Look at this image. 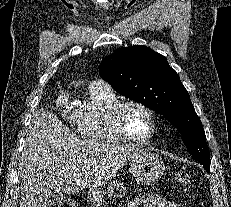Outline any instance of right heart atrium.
Returning <instances> with one entry per match:
<instances>
[{"label":"right heart atrium","mask_w":231,"mask_h":207,"mask_svg":"<svg viewBox=\"0 0 231 207\" xmlns=\"http://www.w3.org/2000/svg\"><path fill=\"white\" fill-rule=\"evenodd\" d=\"M55 108L60 114V117L69 122L74 123V114L69 109V97L64 93H59L54 99Z\"/></svg>","instance_id":"right-heart-atrium-1"}]
</instances>
